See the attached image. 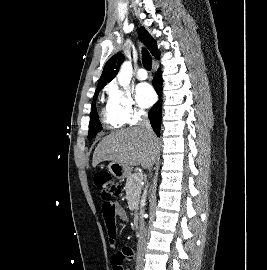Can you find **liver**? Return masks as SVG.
<instances>
[{"label":"liver","instance_id":"1","mask_svg":"<svg viewBox=\"0 0 267 270\" xmlns=\"http://www.w3.org/2000/svg\"><path fill=\"white\" fill-rule=\"evenodd\" d=\"M158 153V138L154 134L148 135L140 127H132L104 137L94 151L92 166L112 161L128 168L141 165L147 169L155 163Z\"/></svg>","mask_w":267,"mask_h":270}]
</instances>
